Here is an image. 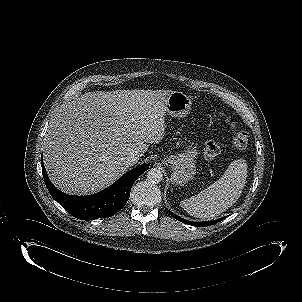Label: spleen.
Masks as SVG:
<instances>
[{"instance_id": "3e777b00", "label": "spleen", "mask_w": 302, "mask_h": 302, "mask_svg": "<svg viewBox=\"0 0 302 302\" xmlns=\"http://www.w3.org/2000/svg\"><path fill=\"white\" fill-rule=\"evenodd\" d=\"M247 178V164L238 159L230 163L225 173L198 195L184 199L181 207L190 215L212 220L229 209L240 197Z\"/></svg>"}]
</instances>
